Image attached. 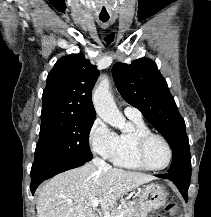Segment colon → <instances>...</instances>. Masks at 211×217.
<instances>
[{"label":"colon","instance_id":"1","mask_svg":"<svg viewBox=\"0 0 211 217\" xmlns=\"http://www.w3.org/2000/svg\"><path fill=\"white\" fill-rule=\"evenodd\" d=\"M166 211L171 214V215H175L177 212V207L173 202H170L167 206H166ZM158 217H163V216H158Z\"/></svg>","mask_w":211,"mask_h":217}]
</instances>
